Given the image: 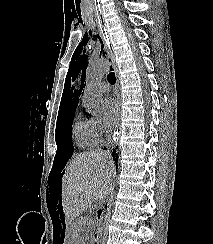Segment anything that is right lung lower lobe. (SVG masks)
<instances>
[{
	"mask_svg": "<svg viewBox=\"0 0 213 244\" xmlns=\"http://www.w3.org/2000/svg\"><path fill=\"white\" fill-rule=\"evenodd\" d=\"M113 157H114L115 162H117V157H118V155L116 154L115 151L113 152Z\"/></svg>",
	"mask_w": 213,
	"mask_h": 244,
	"instance_id": "98d812e1",
	"label": "right lung lower lobe"
}]
</instances>
